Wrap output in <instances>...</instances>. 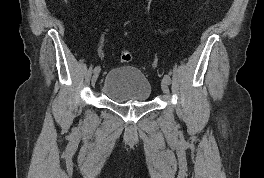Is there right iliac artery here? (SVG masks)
Listing matches in <instances>:
<instances>
[{
	"label": "right iliac artery",
	"instance_id": "82829eb1",
	"mask_svg": "<svg viewBox=\"0 0 264 178\" xmlns=\"http://www.w3.org/2000/svg\"><path fill=\"white\" fill-rule=\"evenodd\" d=\"M100 70H101L100 66H96V67L94 68V73H99Z\"/></svg>",
	"mask_w": 264,
	"mask_h": 178
}]
</instances>
